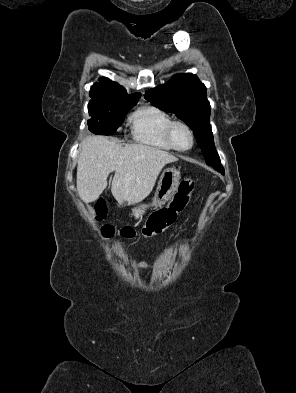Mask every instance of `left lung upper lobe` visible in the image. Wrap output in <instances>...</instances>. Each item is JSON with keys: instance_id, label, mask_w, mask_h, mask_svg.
<instances>
[{"instance_id": "1", "label": "left lung upper lobe", "mask_w": 296, "mask_h": 393, "mask_svg": "<svg viewBox=\"0 0 296 393\" xmlns=\"http://www.w3.org/2000/svg\"><path fill=\"white\" fill-rule=\"evenodd\" d=\"M145 98L155 107L178 115L193 130L206 163L224 174L210 126L206 87L197 76L176 74L168 83L146 91Z\"/></svg>"}]
</instances>
